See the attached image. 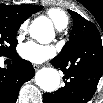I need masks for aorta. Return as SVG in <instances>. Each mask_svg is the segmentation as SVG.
Masks as SVG:
<instances>
[{
  "instance_id": "1",
  "label": "aorta",
  "mask_w": 103,
  "mask_h": 103,
  "mask_svg": "<svg viewBox=\"0 0 103 103\" xmlns=\"http://www.w3.org/2000/svg\"><path fill=\"white\" fill-rule=\"evenodd\" d=\"M44 28H51V23L47 18H37L31 25L32 35H40ZM36 84L45 92H53L60 84L59 72L54 68L40 69L35 75Z\"/></svg>"
}]
</instances>
